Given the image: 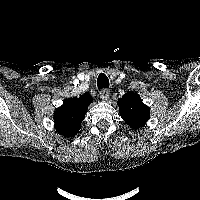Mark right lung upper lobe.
I'll use <instances>...</instances> for the list:
<instances>
[{
    "label": "right lung upper lobe",
    "mask_w": 200,
    "mask_h": 200,
    "mask_svg": "<svg viewBox=\"0 0 200 200\" xmlns=\"http://www.w3.org/2000/svg\"><path fill=\"white\" fill-rule=\"evenodd\" d=\"M91 101L90 95L66 99L54 113L56 130L64 137L74 136L80 129L85 110Z\"/></svg>",
    "instance_id": "right-lung-upper-lobe-1"
}]
</instances>
